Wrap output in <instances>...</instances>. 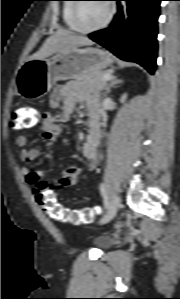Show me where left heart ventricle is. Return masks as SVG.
Returning a JSON list of instances; mask_svg holds the SVG:
<instances>
[{
	"mask_svg": "<svg viewBox=\"0 0 180 299\" xmlns=\"http://www.w3.org/2000/svg\"><path fill=\"white\" fill-rule=\"evenodd\" d=\"M107 15V3H81L78 10V23L83 28L99 25Z\"/></svg>",
	"mask_w": 180,
	"mask_h": 299,
	"instance_id": "b2bd125f",
	"label": "left heart ventricle"
}]
</instances>
